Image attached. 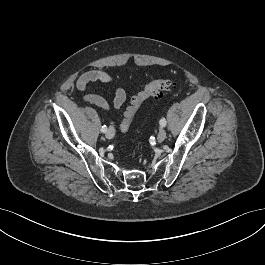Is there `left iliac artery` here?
<instances>
[{
  "label": "left iliac artery",
  "instance_id": "1",
  "mask_svg": "<svg viewBox=\"0 0 265 265\" xmlns=\"http://www.w3.org/2000/svg\"><path fill=\"white\" fill-rule=\"evenodd\" d=\"M160 125H161V127H165L166 126V120H165V118H161Z\"/></svg>",
  "mask_w": 265,
  "mask_h": 265
}]
</instances>
